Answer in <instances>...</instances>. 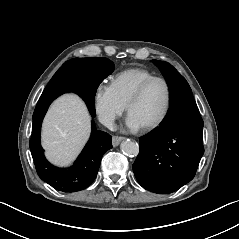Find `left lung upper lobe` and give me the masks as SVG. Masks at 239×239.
Instances as JSON below:
<instances>
[{
	"instance_id": "obj_1",
	"label": "left lung upper lobe",
	"mask_w": 239,
	"mask_h": 239,
	"mask_svg": "<svg viewBox=\"0 0 239 239\" xmlns=\"http://www.w3.org/2000/svg\"><path fill=\"white\" fill-rule=\"evenodd\" d=\"M152 61L159 67L169 85L171 91V103L184 96L192 95L189 84L172 65L164 61Z\"/></svg>"
}]
</instances>
